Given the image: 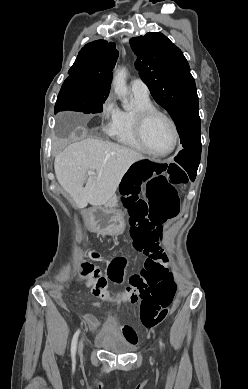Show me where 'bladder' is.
Listing matches in <instances>:
<instances>
[{"label":"bladder","instance_id":"bladder-1","mask_svg":"<svg viewBox=\"0 0 248 389\" xmlns=\"http://www.w3.org/2000/svg\"><path fill=\"white\" fill-rule=\"evenodd\" d=\"M94 342L104 351L117 355H126L135 349V344L125 338L107 335L104 332H98L94 337Z\"/></svg>","mask_w":248,"mask_h":389}]
</instances>
